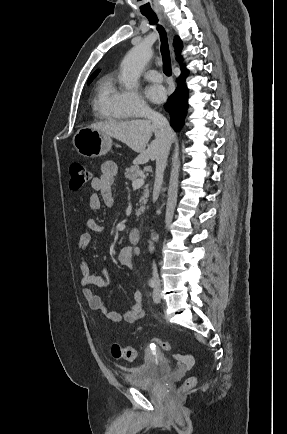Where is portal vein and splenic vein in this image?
Here are the masks:
<instances>
[{"label":"portal vein and splenic vein","mask_w":287,"mask_h":434,"mask_svg":"<svg viewBox=\"0 0 287 434\" xmlns=\"http://www.w3.org/2000/svg\"><path fill=\"white\" fill-rule=\"evenodd\" d=\"M143 184H144V179L139 178V179H136L132 182V187L134 189H137V188H140L141 186H143Z\"/></svg>","instance_id":"18ae733b"}]
</instances>
